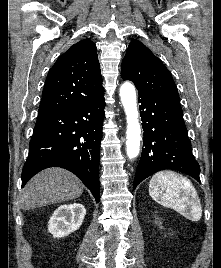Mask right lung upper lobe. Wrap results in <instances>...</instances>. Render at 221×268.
Segmentation results:
<instances>
[{
	"label": "right lung upper lobe",
	"instance_id": "1",
	"mask_svg": "<svg viewBox=\"0 0 221 268\" xmlns=\"http://www.w3.org/2000/svg\"><path fill=\"white\" fill-rule=\"evenodd\" d=\"M104 94L95 44L87 39L72 45L51 68L39 113L55 112L90 102Z\"/></svg>",
	"mask_w": 221,
	"mask_h": 268
}]
</instances>
